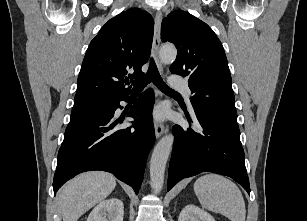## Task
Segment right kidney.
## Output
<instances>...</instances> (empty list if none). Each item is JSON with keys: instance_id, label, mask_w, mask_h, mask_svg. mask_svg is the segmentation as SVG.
<instances>
[{"instance_id": "ca27d5eb", "label": "right kidney", "mask_w": 307, "mask_h": 221, "mask_svg": "<svg viewBox=\"0 0 307 221\" xmlns=\"http://www.w3.org/2000/svg\"><path fill=\"white\" fill-rule=\"evenodd\" d=\"M124 205L117 198L100 202L90 213L87 221H123Z\"/></svg>"}]
</instances>
